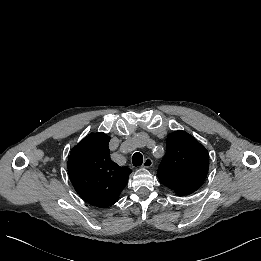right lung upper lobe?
<instances>
[{
	"mask_svg": "<svg viewBox=\"0 0 261 261\" xmlns=\"http://www.w3.org/2000/svg\"><path fill=\"white\" fill-rule=\"evenodd\" d=\"M105 133H94L75 146L68 157V173L77 193L89 204L109 207L116 203L132 172L110 159Z\"/></svg>",
	"mask_w": 261,
	"mask_h": 261,
	"instance_id": "cb5924a9",
	"label": "right lung upper lobe"
}]
</instances>
